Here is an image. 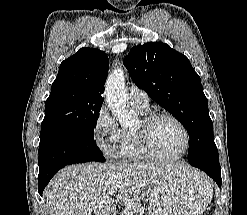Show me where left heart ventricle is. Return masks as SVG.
Returning <instances> with one entry per match:
<instances>
[{
  "instance_id": "left-heart-ventricle-1",
  "label": "left heart ventricle",
  "mask_w": 247,
  "mask_h": 215,
  "mask_svg": "<svg viewBox=\"0 0 247 215\" xmlns=\"http://www.w3.org/2000/svg\"><path fill=\"white\" fill-rule=\"evenodd\" d=\"M151 137L154 148L162 155L176 156L184 148V134L181 128L170 119H161L156 122L151 129Z\"/></svg>"
}]
</instances>
